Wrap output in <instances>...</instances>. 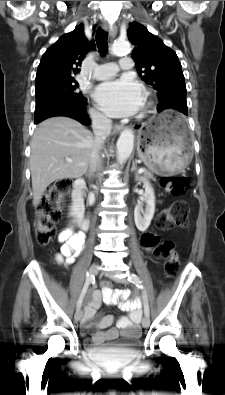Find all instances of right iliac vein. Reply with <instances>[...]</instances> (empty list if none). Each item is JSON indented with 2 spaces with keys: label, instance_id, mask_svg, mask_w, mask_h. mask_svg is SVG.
<instances>
[{
  "label": "right iliac vein",
  "instance_id": "1",
  "mask_svg": "<svg viewBox=\"0 0 225 395\" xmlns=\"http://www.w3.org/2000/svg\"><path fill=\"white\" fill-rule=\"evenodd\" d=\"M97 268H98L97 264H93V265L90 267V269H89V271H88V273L90 274V276H94V275L96 274ZM82 315H83L82 310H81L80 308L77 309V311H76V313H75V315H74L75 321H76V322L80 321V319L82 318Z\"/></svg>",
  "mask_w": 225,
  "mask_h": 395
}]
</instances>
